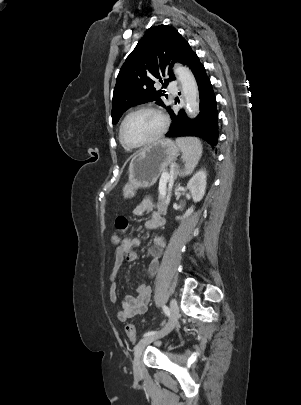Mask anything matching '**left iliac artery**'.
<instances>
[{"label": "left iliac artery", "instance_id": "44dca946", "mask_svg": "<svg viewBox=\"0 0 301 405\" xmlns=\"http://www.w3.org/2000/svg\"><path fill=\"white\" fill-rule=\"evenodd\" d=\"M162 308H163V311H164V313L166 314V316H170V310H169V308L167 307V306H165V305H163L162 306ZM157 331H148V332H146L143 336L144 337H146V336H149V335H151V334H154V333H156Z\"/></svg>", "mask_w": 301, "mask_h": 405}]
</instances>
